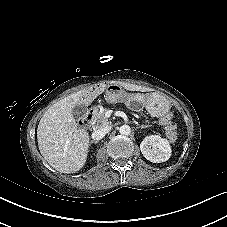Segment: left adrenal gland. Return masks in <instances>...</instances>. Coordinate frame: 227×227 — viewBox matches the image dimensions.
<instances>
[{
  "instance_id": "obj_1",
  "label": "left adrenal gland",
  "mask_w": 227,
  "mask_h": 227,
  "mask_svg": "<svg viewBox=\"0 0 227 227\" xmlns=\"http://www.w3.org/2000/svg\"><path fill=\"white\" fill-rule=\"evenodd\" d=\"M137 126H138V128H141V129L149 127V125H139V124H137Z\"/></svg>"
}]
</instances>
